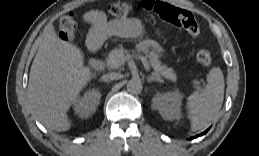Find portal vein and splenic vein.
<instances>
[{
    "mask_svg": "<svg viewBox=\"0 0 259 156\" xmlns=\"http://www.w3.org/2000/svg\"><path fill=\"white\" fill-rule=\"evenodd\" d=\"M136 58H138V59H140V60L142 61L143 65H144V67H145V69H146L147 71L150 70L149 63H148L147 59H146L144 56H137ZM194 83L197 84V85L199 84V83L196 82V81H194Z\"/></svg>",
    "mask_w": 259,
    "mask_h": 156,
    "instance_id": "portal-vein-and-splenic-vein-1",
    "label": "portal vein and splenic vein"
}]
</instances>
